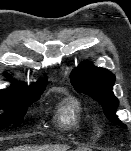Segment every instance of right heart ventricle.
Wrapping results in <instances>:
<instances>
[{"instance_id":"e07e8e85","label":"right heart ventricle","mask_w":131,"mask_h":151,"mask_svg":"<svg viewBox=\"0 0 131 151\" xmlns=\"http://www.w3.org/2000/svg\"><path fill=\"white\" fill-rule=\"evenodd\" d=\"M81 118V108L75 100L66 102L59 115L60 123L66 127H77L81 122Z\"/></svg>"}]
</instances>
